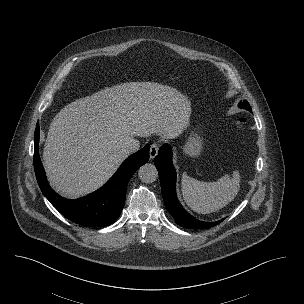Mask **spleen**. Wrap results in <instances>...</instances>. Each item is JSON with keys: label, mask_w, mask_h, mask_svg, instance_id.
<instances>
[{"label": "spleen", "mask_w": 304, "mask_h": 304, "mask_svg": "<svg viewBox=\"0 0 304 304\" xmlns=\"http://www.w3.org/2000/svg\"><path fill=\"white\" fill-rule=\"evenodd\" d=\"M240 175H225L216 182H203L183 174L181 190L184 201L195 212L209 214L231 202L240 189Z\"/></svg>", "instance_id": "obj_1"}]
</instances>
